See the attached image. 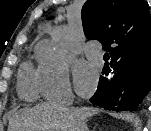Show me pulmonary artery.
I'll use <instances>...</instances> for the list:
<instances>
[{
  "label": "pulmonary artery",
  "instance_id": "pulmonary-artery-1",
  "mask_svg": "<svg viewBox=\"0 0 151 131\" xmlns=\"http://www.w3.org/2000/svg\"><path fill=\"white\" fill-rule=\"evenodd\" d=\"M86 52L97 62L99 66H103V54L99 49L89 45L86 47Z\"/></svg>",
  "mask_w": 151,
  "mask_h": 131
}]
</instances>
